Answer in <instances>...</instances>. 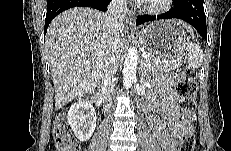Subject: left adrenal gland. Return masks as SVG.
<instances>
[{
    "mask_svg": "<svg viewBox=\"0 0 231 151\" xmlns=\"http://www.w3.org/2000/svg\"><path fill=\"white\" fill-rule=\"evenodd\" d=\"M145 73H146V71H145V69H144V67H143V64H141V74H142V79L144 78Z\"/></svg>",
    "mask_w": 231,
    "mask_h": 151,
    "instance_id": "left-adrenal-gland-1",
    "label": "left adrenal gland"
}]
</instances>
